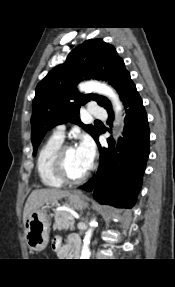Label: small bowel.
Masks as SVG:
<instances>
[{
    "instance_id": "obj_1",
    "label": "small bowel",
    "mask_w": 175,
    "mask_h": 287,
    "mask_svg": "<svg viewBox=\"0 0 175 287\" xmlns=\"http://www.w3.org/2000/svg\"><path fill=\"white\" fill-rule=\"evenodd\" d=\"M51 246L58 258L66 259L70 256V251L72 247L76 249L79 248L80 239L76 235H71L68 238V241L65 244H63L62 239L57 236L52 240Z\"/></svg>"
}]
</instances>
